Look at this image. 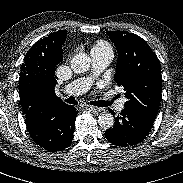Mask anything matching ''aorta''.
<instances>
[{
  "label": "aorta",
  "instance_id": "aorta-1",
  "mask_svg": "<svg viewBox=\"0 0 183 183\" xmlns=\"http://www.w3.org/2000/svg\"><path fill=\"white\" fill-rule=\"evenodd\" d=\"M71 69L74 73H86L91 66V58L85 53L74 55L71 60ZM98 124L103 129H109L114 125V117L111 113H102L98 117Z\"/></svg>",
  "mask_w": 183,
  "mask_h": 183
}]
</instances>
